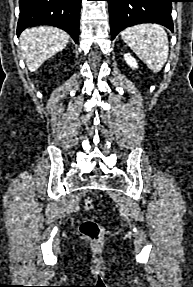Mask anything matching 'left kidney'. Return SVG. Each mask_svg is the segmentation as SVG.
Returning <instances> with one entry per match:
<instances>
[{"instance_id": "left-kidney-1", "label": "left kidney", "mask_w": 193, "mask_h": 287, "mask_svg": "<svg viewBox=\"0 0 193 287\" xmlns=\"http://www.w3.org/2000/svg\"><path fill=\"white\" fill-rule=\"evenodd\" d=\"M124 59L131 68L133 69L138 68L136 60L129 53L124 54Z\"/></svg>"}]
</instances>
